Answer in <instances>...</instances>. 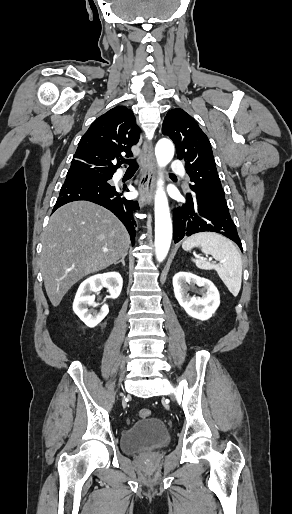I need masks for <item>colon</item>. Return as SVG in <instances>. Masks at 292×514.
<instances>
[{"mask_svg": "<svg viewBox=\"0 0 292 514\" xmlns=\"http://www.w3.org/2000/svg\"><path fill=\"white\" fill-rule=\"evenodd\" d=\"M138 415L141 419L147 420L151 417V411L146 408H140L138 410Z\"/></svg>", "mask_w": 292, "mask_h": 514, "instance_id": "colon-1", "label": "colon"}]
</instances>
